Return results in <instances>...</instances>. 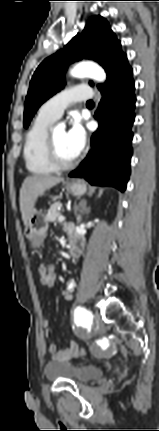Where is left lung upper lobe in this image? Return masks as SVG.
I'll use <instances>...</instances> for the list:
<instances>
[{"mask_svg": "<svg viewBox=\"0 0 159 431\" xmlns=\"http://www.w3.org/2000/svg\"><path fill=\"white\" fill-rule=\"evenodd\" d=\"M93 59L107 73V84L124 66L127 56L107 21L94 16L87 22L82 34H77L64 49L47 57L35 70L25 101L24 127L27 128L38 108L65 85L64 73L74 61ZM105 84L98 85L101 89ZM90 85H93L90 82Z\"/></svg>", "mask_w": 159, "mask_h": 431, "instance_id": "left-lung-upper-lobe-1", "label": "left lung upper lobe"}]
</instances>
